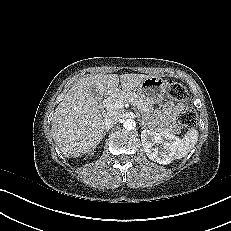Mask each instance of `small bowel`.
Instances as JSON below:
<instances>
[{"label":"small bowel","mask_w":231,"mask_h":231,"mask_svg":"<svg viewBox=\"0 0 231 231\" xmlns=\"http://www.w3.org/2000/svg\"><path fill=\"white\" fill-rule=\"evenodd\" d=\"M183 105L174 104L172 102H167L162 109V117L165 122L173 123L177 117V115L182 110Z\"/></svg>","instance_id":"obj_1"}]
</instances>
